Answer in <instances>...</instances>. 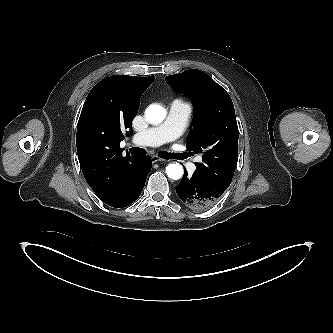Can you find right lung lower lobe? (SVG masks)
<instances>
[{"label": "right lung lower lobe", "mask_w": 333, "mask_h": 333, "mask_svg": "<svg viewBox=\"0 0 333 333\" xmlns=\"http://www.w3.org/2000/svg\"><path fill=\"white\" fill-rule=\"evenodd\" d=\"M150 170L151 158L148 156L137 157L128 167L122 191L107 204L115 208L132 204L140 196Z\"/></svg>", "instance_id": "obj_1"}]
</instances>
